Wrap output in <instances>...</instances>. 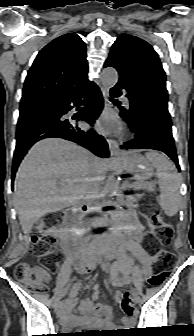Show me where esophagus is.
Listing matches in <instances>:
<instances>
[{"mask_svg":"<svg viewBox=\"0 0 194 336\" xmlns=\"http://www.w3.org/2000/svg\"><path fill=\"white\" fill-rule=\"evenodd\" d=\"M102 95H103V98H104V106L106 108L109 104V101H108L109 89L108 88H102ZM107 143H108L109 150H110V153H111L112 156L122 154V151L119 148L118 143L114 139H110V138L107 139Z\"/></svg>","mask_w":194,"mask_h":336,"instance_id":"esophagus-1","label":"esophagus"}]
</instances>
